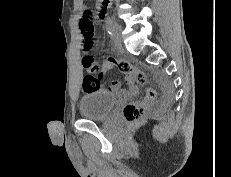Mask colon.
Here are the masks:
<instances>
[{
    "label": "colon",
    "mask_w": 231,
    "mask_h": 177,
    "mask_svg": "<svg viewBox=\"0 0 231 177\" xmlns=\"http://www.w3.org/2000/svg\"><path fill=\"white\" fill-rule=\"evenodd\" d=\"M80 29L82 31L84 41L82 45V64L87 74L83 77L82 86L85 92H90L100 88V80L98 78V64L94 57L91 56L94 47V24L91 19V12H86L80 20ZM107 61L115 65L121 73L132 78V80L141 85H148L147 74L134 67L125 59L107 58ZM155 91L151 87H146L145 95L142 99L127 104L124 108V116L127 121L135 122L142 118L146 113L149 103L155 98Z\"/></svg>",
    "instance_id": "obj_1"
}]
</instances>
